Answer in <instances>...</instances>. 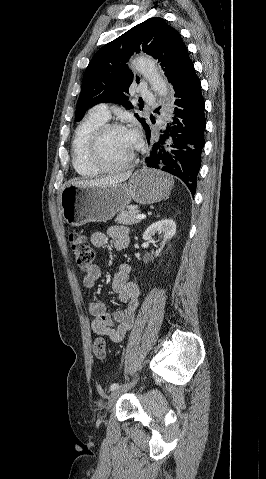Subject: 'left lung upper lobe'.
<instances>
[{"instance_id":"5c2ea615","label":"left lung upper lobe","mask_w":266,"mask_h":479,"mask_svg":"<svg viewBox=\"0 0 266 479\" xmlns=\"http://www.w3.org/2000/svg\"><path fill=\"white\" fill-rule=\"evenodd\" d=\"M143 51L161 63L168 81L173 84L186 65L191 62L180 34L160 17L150 18L103 46L90 61L83 77L82 90L76 107V121L86 110L99 102H128L130 85L138 77L127 68L126 62L136 52ZM144 128L145 119L135 114Z\"/></svg>"}]
</instances>
